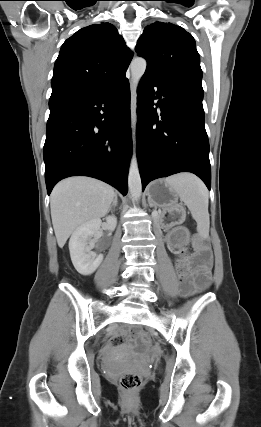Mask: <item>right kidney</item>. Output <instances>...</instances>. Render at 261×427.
Returning a JSON list of instances; mask_svg holds the SVG:
<instances>
[{
	"label": "right kidney",
	"mask_w": 261,
	"mask_h": 427,
	"mask_svg": "<svg viewBox=\"0 0 261 427\" xmlns=\"http://www.w3.org/2000/svg\"><path fill=\"white\" fill-rule=\"evenodd\" d=\"M100 219L91 220L76 228L69 241V250L72 263L75 269L82 275H90L96 271L103 261V255H97L92 252L88 246L91 237L99 238L101 236ZM108 230L113 231L117 225L115 216L106 217Z\"/></svg>",
	"instance_id": "1"
}]
</instances>
